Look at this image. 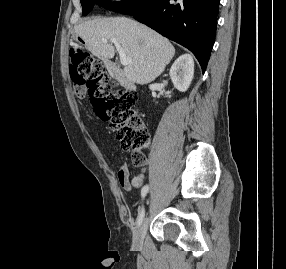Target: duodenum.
<instances>
[{"label": "duodenum", "mask_w": 286, "mask_h": 269, "mask_svg": "<svg viewBox=\"0 0 286 269\" xmlns=\"http://www.w3.org/2000/svg\"><path fill=\"white\" fill-rule=\"evenodd\" d=\"M106 67L111 77L117 79L125 88L134 91L135 84L124 73V71L114 62H107Z\"/></svg>", "instance_id": "1"}]
</instances>
